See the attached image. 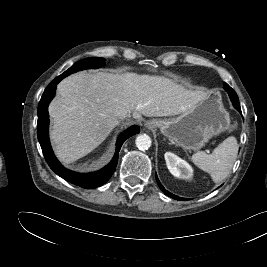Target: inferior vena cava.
<instances>
[{
    "instance_id": "inferior-vena-cava-1",
    "label": "inferior vena cava",
    "mask_w": 267,
    "mask_h": 267,
    "mask_svg": "<svg viewBox=\"0 0 267 267\" xmlns=\"http://www.w3.org/2000/svg\"><path fill=\"white\" fill-rule=\"evenodd\" d=\"M129 116L128 114H122L119 116L120 119H124L125 117Z\"/></svg>"
}]
</instances>
